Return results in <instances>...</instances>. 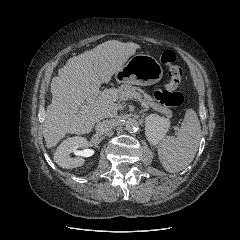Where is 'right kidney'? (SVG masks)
<instances>
[{
	"label": "right kidney",
	"instance_id": "right-kidney-1",
	"mask_svg": "<svg viewBox=\"0 0 240 240\" xmlns=\"http://www.w3.org/2000/svg\"><path fill=\"white\" fill-rule=\"evenodd\" d=\"M88 141L84 137H70L64 140L54 153V161L62 168L70 169L82 166L85 160L82 157H88L91 154L88 149L78 151V148H86ZM70 153H77L78 157H70Z\"/></svg>",
	"mask_w": 240,
	"mask_h": 240
}]
</instances>
